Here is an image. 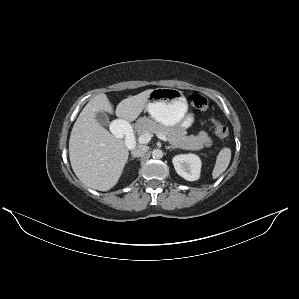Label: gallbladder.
I'll list each match as a JSON object with an SVG mask.
<instances>
[{
	"label": "gallbladder",
	"instance_id": "bac80fb5",
	"mask_svg": "<svg viewBox=\"0 0 299 299\" xmlns=\"http://www.w3.org/2000/svg\"><path fill=\"white\" fill-rule=\"evenodd\" d=\"M96 121L99 124L103 125V126H109L110 125V121H109L108 116L103 112H97L96 113Z\"/></svg>",
	"mask_w": 299,
	"mask_h": 299
}]
</instances>
